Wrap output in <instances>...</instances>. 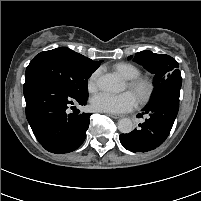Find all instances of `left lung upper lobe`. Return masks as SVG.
Listing matches in <instances>:
<instances>
[{"label": "left lung upper lobe", "instance_id": "1", "mask_svg": "<svg viewBox=\"0 0 201 201\" xmlns=\"http://www.w3.org/2000/svg\"><path fill=\"white\" fill-rule=\"evenodd\" d=\"M133 61L143 65L149 72L155 75L154 92L151 101L167 92L180 94L182 77L178 69V62L174 58L166 54L142 51L136 53Z\"/></svg>", "mask_w": 201, "mask_h": 201}]
</instances>
